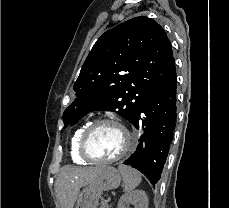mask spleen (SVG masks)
Returning a JSON list of instances; mask_svg holds the SVG:
<instances>
[{
    "label": "spleen",
    "mask_w": 229,
    "mask_h": 208,
    "mask_svg": "<svg viewBox=\"0 0 229 208\" xmlns=\"http://www.w3.org/2000/svg\"><path fill=\"white\" fill-rule=\"evenodd\" d=\"M118 170L124 182V190L129 194V192H132L134 188H137V186H139L142 180L141 174H139L137 170H133V168H129V166H124V164H121Z\"/></svg>",
    "instance_id": "3e777b00"
}]
</instances>
